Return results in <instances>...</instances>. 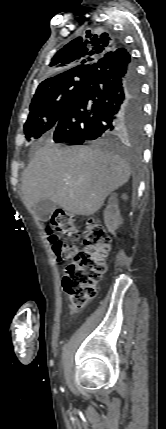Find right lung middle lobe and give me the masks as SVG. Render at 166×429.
<instances>
[{
  "label": "right lung middle lobe",
  "mask_w": 166,
  "mask_h": 429,
  "mask_svg": "<svg viewBox=\"0 0 166 429\" xmlns=\"http://www.w3.org/2000/svg\"><path fill=\"white\" fill-rule=\"evenodd\" d=\"M86 79L87 75L69 77L55 83L46 91L34 95L29 116L24 125V132L28 141L38 139L46 132H53L74 92ZM127 135L138 144L141 139L142 128L138 131L129 130Z\"/></svg>",
  "instance_id": "dd1d6c3e"
}]
</instances>
